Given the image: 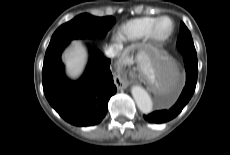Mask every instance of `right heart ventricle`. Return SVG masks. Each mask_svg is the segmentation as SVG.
<instances>
[{
    "label": "right heart ventricle",
    "instance_id": "right-heart-ventricle-1",
    "mask_svg": "<svg viewBox=\"0 0 230 155\" xmlns=\"http://www.w3.org/2000/svg\"><path fill=\"white\" fill-rule=\"evenodd\" d=\"M157 17L144 16L131 19L120 26L117 35L121 40L135 41L149 35L150 29Z\"/></svg>",
    "mask_w": 230,
    "mask_h": 155
}]
</instances>
